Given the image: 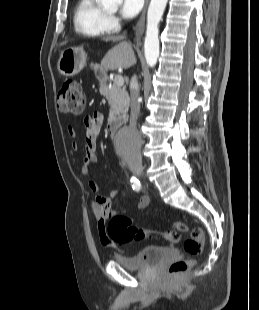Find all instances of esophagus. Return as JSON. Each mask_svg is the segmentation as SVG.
Masks as SVG:
<instances>
[{"label": "esophagus", "mask_w": 259, "mask_h": 310, "mask_svg": "<svg viewBox=\"0 0 259 310\" xmlns=\"http://www.w3.org/2000/svg\"><path fill=\"white\" fill-rule=\"evenodd\" d=\"M148 4H149V0H146L142 14H141L136 26H135V29H134L136 40H140L142 35H143L144 25H145V15H146V10H147Z\"/></svg>", "instance_id": "esophagus-1"}]
</instances>
